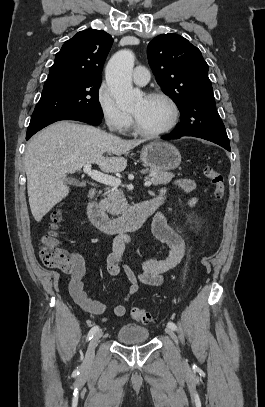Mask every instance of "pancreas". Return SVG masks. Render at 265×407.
<instances>
[{
  "instance_id": "1",
  "label": "pancreas",
  "mask_w": 265,
  "mask_h": 407,
  "mask_svg": "<svg viewBox=\"0 0 265 407\" xmlns=\"http://www.w3.org/2000/svg\"><path fill=\"white\" fill-rule=\"evenodd\" d=\"M148 170H143L146 172ZM151 177L148 178L156 185L168 184L174 177L173 173L161 170H150ZM106 197L101 200L100 205L112 215L121 214L128 206L126 198L121 190L116 188L108 189Z\"/></svg>"
}]
</instances>
